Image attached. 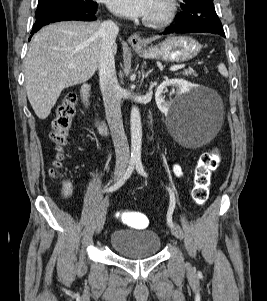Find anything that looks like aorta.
I'll return each mask as SVG.
<instances>
[{
  "mask_svg": "<svg viewBox=\"0 0 267 301\" xmlns=\"http://www.w3.org/2000/svg\"><path fill=\"white\" fill-rule=\"evenodd\" d=\"M131 158L140 160L142 147V126L139 109L134 106L131 110Z\"/></svg>",
  "mask_w": 267,
  "mask_h": 301,
  "instance_id": "aorta-1",
  "label": "aorta"
}]
</instances>
